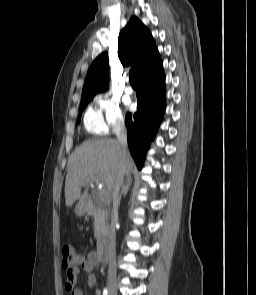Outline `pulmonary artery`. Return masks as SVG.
<instances>
[{"label": "pulmonary artery", "mask_w": 256, "mask_h": 295, "mask_svg": "<svg viewBox=\"0 0 256 295\" xmlns=\"http://www.w3.org/2000/svg\"><path fill=\"white\" fill-rule=\"evenodd\" d=\"M124 91L127 93V94H132L133 93V88L130 86V85H126L125 88H124Z\"/></svg>", "instance_id": "pulmonary-artery-1"}]
</instances>
